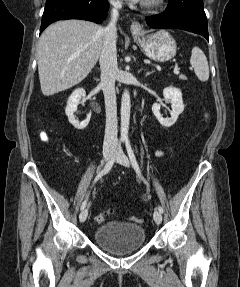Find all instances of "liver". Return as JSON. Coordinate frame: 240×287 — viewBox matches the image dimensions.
<instances>
[{
  "mask_svg": "<svg viewBox=\"0 0 240 287\" xmlns=\"http://www.w3.org/2000/svg\"><path fill=\"white\" fill-rule=\"evenodd\" d=\"M102 29L95 23L74 19L47 27L39 39L37 57L43 95L67 90L88 76L102 50Z\"/></svg>",
  "mask_w": 240,
  "mask_h": 287,
  "instance_id": "1",
  "label": "liver"
}]
</instances>
